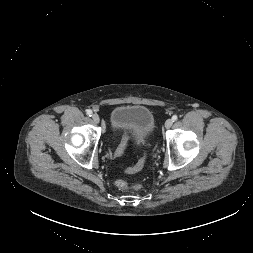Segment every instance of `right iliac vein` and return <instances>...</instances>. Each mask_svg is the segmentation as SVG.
Returning a JSON list of instances; mask_svg holds the SVG:
<instances>
[{
    "label": "right iliac vein",
    "instance_id": "right-iliac-vein-1",
    "mask_svg": "<svg viewBox=\"0 0 253 253\" xmlns=\"http://www.w3.org/2000/svg\"><path fill=\"white\" fill-rule=\"evenodd\" d=\"M92 119L97 124L100 122V117L98 116V114H93Z\"/></svg>",
    "mask_w": 253,
    "mask_h": 253
}]
</instances>
